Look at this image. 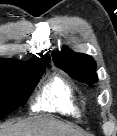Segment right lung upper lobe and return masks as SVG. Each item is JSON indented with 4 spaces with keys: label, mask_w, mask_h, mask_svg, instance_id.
<instances>
[{
    "label": "right lung upper lobe",
    "mask_w": 117,
    "mask_h": 136,
    "mask_svg": "<svg viewBox=\"0 0 117 136\" xmlns=\"http://www.w3.org/2000/svg\"><path fill=\"white\" fill-rule=\"evenodd\" d=\"M39 60H50V56L48 54L45 55H40L39 57H35L32 60H30L29 62H20V61H16L14 59H3L0 58V63H8V64H15V65H31L32 63L39 61Z\"/></svg>",
    "instance_id": "cb5924a9"
}]
</instances>
